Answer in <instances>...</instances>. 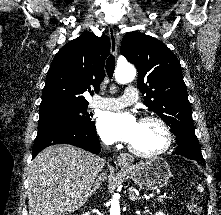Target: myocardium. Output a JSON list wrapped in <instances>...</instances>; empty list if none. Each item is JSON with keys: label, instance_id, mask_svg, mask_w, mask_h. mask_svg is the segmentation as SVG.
I'll return each instance as SVG.
<instances>
[{"label": "myocardium", "instance_id": "1", "mask_svg": "<svg viewBox=\"0 0 221 215\" xmlns=\"http://www.w3.org/2000/svg\"><path fill=\"white\" fill-rule=\"evenodd\" d=\"M140 122H155V123H157L161 127V129L164 133L165 142L161 148H159L155 151H150V152L141 151V150L133 147L131 144H129L128 149L131 153H133L137 156H140V157L151 158V157L162 155L171 148L172 143H173V134H172V131H171L170 127L168 126V124L162 118L155 116V115H146V116H143L140 118Z\"/></svg>", "mask_w": 221, "mask_h": 215}]
</instances>
